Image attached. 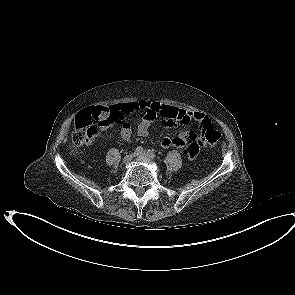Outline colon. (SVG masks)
I'll use <instances>...</instances> for the list:
<instances>
[{
	"instance_id": "colon-1",
	"label": "colon",
	"mask_w": 295,
	"mask_h": 295,
	"mask_svg": "<svg viewBox=\"0 0 295 295\" xmlns=\"http://www.w3.org/2000/svg\"><path fill=\"white\" fill-rule=\"evenodd\" d=\"M111 112L105 107H95L79 114L74 123L72 143L74 149L90 143L97 134V127L101 117L110 115ZM204 140L211 147L215 146L219 139V132L210 121L201 124Z\"/></svg>"
}]
</instances>
